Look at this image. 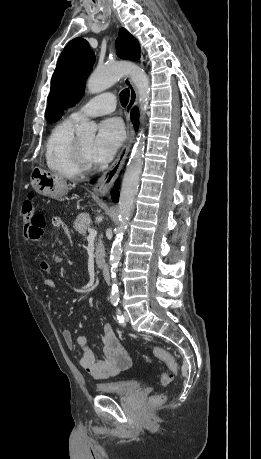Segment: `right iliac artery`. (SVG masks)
I'll list each match as a JSON object with an SVG mask.
<instances>
[{
    "mask_svg": "<svg viewBox=\"0 0 261 459\" xmlns=\"http://www.w3.org/2000/svg\"><path fill=\"white\" fill-rule=\"evenodd\" d=\"M111 302H112V304H113L114 306H117V305H118V302H119V300L113 299Z\"/></svg>",
    "mask_w": 261,
    "mask_h": 459,
    "instance_id": "right-iliac-artery-1",
    "label": "right iliac artery"
}]
</instances>
